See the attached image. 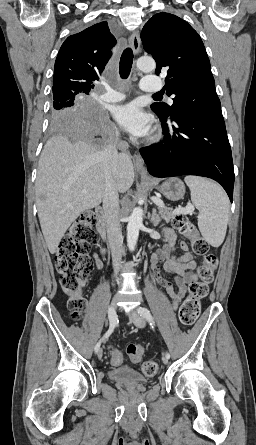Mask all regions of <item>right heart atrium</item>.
<instances>
[{"instance_id": "d8ad5b80", "label": "right heart atrium", "mask_w": 256, "mask_h": 445, "mask_svg": "<svg viewBox=\"0 0 256 445\" xmlns=\"http://www.w3.org/2000/svg\"><path fill=\"white\" fill-rule=\"evenodd\" d=\"M115 133L117 134V133H118V131H117V130H115Z\"/></svg>"}]
</instances>
